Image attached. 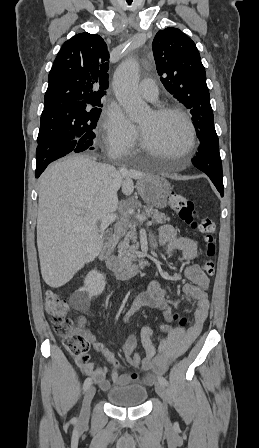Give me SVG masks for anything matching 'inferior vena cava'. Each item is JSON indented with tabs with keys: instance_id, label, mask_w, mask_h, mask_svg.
<instances>
[{
	"instance_id": "inferior-vena-cava-1",
	"label": "inferior vena cava",
	"mask_w": 259,
	"mask_h": 448,
	"mask_svg": "<svg viewBox=\"0 0 259 448\" xmlns=\"http://www.w3.org/2000/svg\"><path fill=\"white\" fill-rule=\"evenodd\" d=\"M113 158H114V156H113ZM119 172H120V174H121V172H124V168H120Z\"/></svg>"
}]
</instances>
